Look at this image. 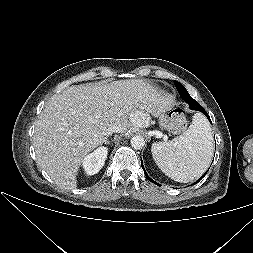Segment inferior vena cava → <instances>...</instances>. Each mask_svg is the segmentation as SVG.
Instances as JSON below:
<instances>
[{"instance_id":"obj_1","label":"inferior vena cava","mask_w":253,"mask_h":253,"mask_svg":"<svg viewBox=\"0 0 253 253\" xmlns=\"http://www.w3.org/2000/svg\"><path fill=\"white\" fill-rule=\"evenodd\" d=\"M115 132H120V129H108L107 131H106V136H109V135H111L112 133H115Z\"/></svg>"}]
</instances>
